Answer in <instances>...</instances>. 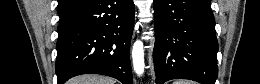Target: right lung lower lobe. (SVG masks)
Returning a JSON list of instances; mask_svg holds the SVG:
<instances>
[{"label": "right lung lower lobe", "instance_id": "98d812e1", "mask_svg": "<svg viewBox=\"0 0 260 84\" xmlns=\"http://www.w3.org/2000/svg\"><path fill=\"white\" fill-rule=\"evenodd\" d=\"M133 0H91L60 21L58 84L80 74H102L132 84L129 59L134 27Z\"/></svg>", "mask_w": 260, "mask_h": 84}]
</instances>
